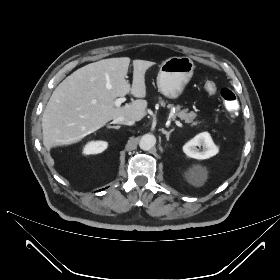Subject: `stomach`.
<instances>
[{
	"mask_svg": "<svg viewBox=\"0 0 280 280\" xmlns=\"http://www.w3.org/2000/svg\"><path fill=\"white\" fill-rule=\"evenodd\" d=\"M194 68L189 57L168 58L160 65L157 76L158 91L169 99H177L191 80Z\"/></svg>",
	"mask_w": 280,
	"mask_h": 280,
	"instance_id": "stomach-1",
	"label": "stomach"
}]
</instances>
